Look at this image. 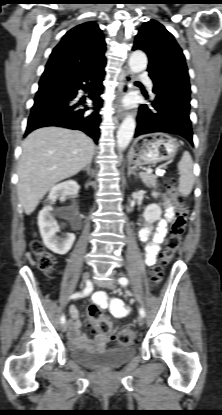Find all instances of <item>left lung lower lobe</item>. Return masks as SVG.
<instances>
[{
  "label": "left lung lower lobe",
  "instance_id": "0a47b994",
  "mask_svg": "<svg viewBox=\"0 0 222 415\" xmlns=\"http://www.w3.org/2000/svg\"><path fill=\"white\" fill-rule=\"evenodd\" d=\"M154 99L141 105L134 137L153 132L177 134L193 145L188 71L166 68L149 72ZM145 96H147L145 94Z\"/></svg>",
  "mask_w": 222,
  "mask_h": 415
}]
</instances>
